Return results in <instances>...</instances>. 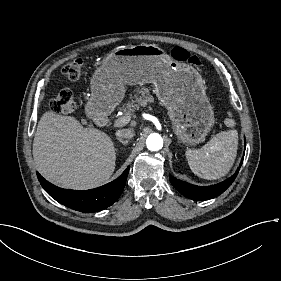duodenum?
Masks as SVG:
<instances>
[{"instance_id":"410a0bca","label":"duodenum","mask_w":281,"mask_h":281,"mask_svg":"<svg viewBox=\"0 0 281 281\" xmlns=\"http://www.w3.org/2000/svg\"><path fill=\"white\" fill-rule=\"evenodd\" d=\"M95 123L99 127H106L110 123V118L106 114H99L95 118Z\"/></svg>"}]
</instances>
